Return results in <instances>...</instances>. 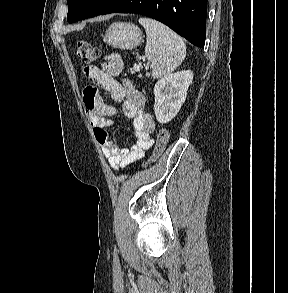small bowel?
<instances>
[{"instance_id": "obj_1", "label": "small bowel", "mask_w": 288, "mask_h": 293, "mask_svg": "<svg viewBox=\"0 0 288 293\" xmlns=\"http://www.w3.org/2000/svg\"><path fill=\"white\" fill-rule=\"evenodd\" d=\"M121 71L122 62L117 56L110 57L103 70L95 66L84 69L86 76L108 92L112 100L120 105L123 115L132 122L135 131L136 141L131 148H123L116 144L106 130L112 125L109 117L115 115L116 110L103 101L94 86H87L84 89L83 103L87 118L105 158L115 170L126 167L143 156L153 145L151 134L156 127L152 115L145 110L146 99L143 92L129 79L116 78Z\"/></svg>"}]
</instances>
